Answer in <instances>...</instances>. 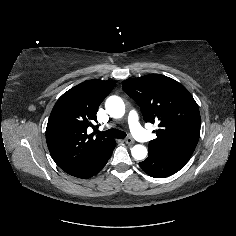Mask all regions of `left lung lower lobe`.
Listing matches in <instances>:
<instances>
[{
	"label": "left lung lower lobe",
	"mask_w": 236,
	"mask_h": 236,
	"mask_svg": "<svg viewBox=\"0 0 236 236\" xmlns=\"http://www.w3.org/2000/svg\"><path fill=\"white\" fill-rule=\"evenodd\" d=\"M191 156L162 155L149 152L148 158L140 162V167L151 177L164 178L179 171Z\"/></svg>",
	"instance_id": "obj_1"
}]
</instances>
